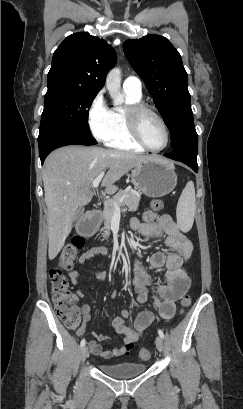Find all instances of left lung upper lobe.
Wrapping results in <instances>:
<instances>
[{"mask_svg": "<svg viewBox=\"0 0 243 409\" xmlns=\"http://www.w3.org/2000/svg\"><path fill=\"white\" fill-rule=\"evenodd\" d=\"M125 56L143 79L171 133L172 148L185 141L187 127L194 124L187 73L179 52L159 35L131 39L123 44ZM186 151L197 157L198 144L189 142Z\"/></svg>", "mask_w": 243, "mask_h": 409, "instance_id": "1", "label": "left lung upper lobe"}]
</instances>
